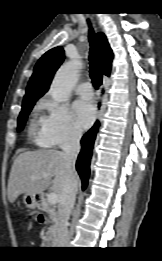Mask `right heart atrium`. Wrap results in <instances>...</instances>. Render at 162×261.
Listing matches in <instances>:
<instances>
[{
  "mask_svg": "<svg viewBox=\"0 0 162 261\" xmlns=\"http://www.w3.org/2000/svg\"><path fill=\"white\" fill-rule=\"evenodd\" d=\"M40 107L46 114L39 119L37 142L48 146H66L79 141L81 131L70 109L51 97L43 99Z\"/></svg>",
  "mask_w": 162,
  "mask_h": 261,
  "instance_id": "d8ad5b80",
  "label": "right heart atrium"
}]
</instances>
